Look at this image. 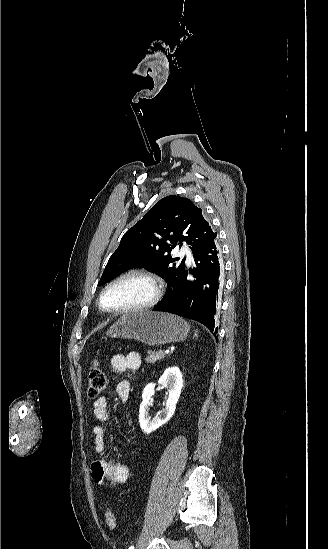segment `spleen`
<instances>
[{
    "mask_svg": "<svg viewBox=\"0 0 328 549\" xmlns=\"http://www.w3.org/2000/svg\"><path fill=\"white\" fill-rule=\"evenodd\" d=\"M197 333H198V331H195V337H197Z\"/></svg>",
    "mask_w": 328,
    "mask_h": 549,
    "instance_id": "spleen-1",
    "label": "spleen"
}]
</instances>
